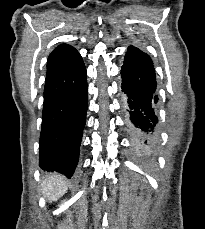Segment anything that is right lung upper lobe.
Segmentation results:
<instances>
[{"instance_id":"1","label":"right lung upper lobe","mask_w":205,"mask_h":229,"mask_svg":"<svg viewBox=\"0 0 205 229\" xmlns=\"http://www.w3.org/2000/svg\"><path fill=\"white\" fill-rule=\"evenodd\" d=\"M54 51L66 57V61L69 65L76 64L82 59L76 49L66 44L59 45Z\"/></svg>"}]
</instances>
